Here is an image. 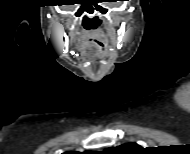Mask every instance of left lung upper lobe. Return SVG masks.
<instances>
[{"label":"left lung upper lobe","mask_w":190,"mask_h":154,"mask_svg":"<svg viewBox=\"0 0 190 154\" xmlns=\"http://www.w3.org/2000/svg\"><path fill=\"white\" fill-rule=\"evenodd\" d=\"M107 150H115V151H123V152H133V151L142 150V147H140L136 143H127V144H123V145L115 147V148H109Z\"/></svg>","instance_id":"1"}]
</instances>
